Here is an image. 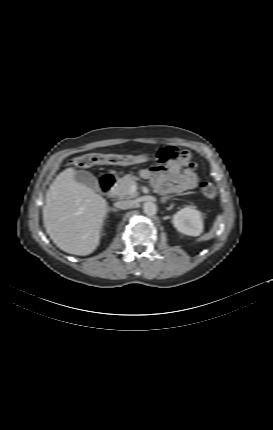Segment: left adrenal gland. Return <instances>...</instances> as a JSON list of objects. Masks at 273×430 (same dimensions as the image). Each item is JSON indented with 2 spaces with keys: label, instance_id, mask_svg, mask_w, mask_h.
Wrapping results in <instances>:
<instances>
[{
  "label": "left adrenal gland",
  "instance_id": "obj_1",
  "mask_svg": "<svg viewBox=\"0 0 273 430\" xmlns=\"http://www.w3.org/2000/svg\"><path fill=\"white\" fill-rule=\"evenodd\" d=\"M172 196H166V197H163L162 199H161V202L162 203H166V201L168 200V199H170Z\"/></svg>",
  "mask_w": 273,
  "mask_h": 430
}]
</instances>
